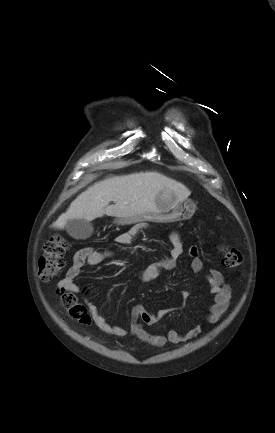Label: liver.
Instances as JSON below:
<instances>
[{
	"label": "liver",
	"mask_w": 275,
	"mask_h": 433,
	"mask_svg": "<svg viewBox=\"0 0 275 433\" xmlns=\"http://www.w3.org/2000/svg\"><path fill=\"white\" fill-rule=\"evenodd\" d=\"M164 191L173 192L178 200H185L191 194L182 183L158 172L107 178L81 193L52 227L63 229L72 219L90 222L103 215L128 218L154 212L157 210V195ZM111 201L115 204L109 206Z\"/></svg>",
	"instance_id": "1"
}]
</instances>
